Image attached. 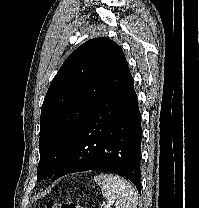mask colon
<instances>
[{
    "label": "colon",
    "mask_w": 199,
    "mask_h": 208,
    "mask_svg": "<svg viewBox=\"0 0 199 208\" xmlns=\"http://www.w3.org/2000/svg\"><path fill=\"white\" fill-rule=\"evenodd\" d=\"M46 208H85V207H81L79 204L73 201H64L61 203L49 202L46 205Z\"/></svg>",
    "instance_id": "obj_1"
}]
</instances>
